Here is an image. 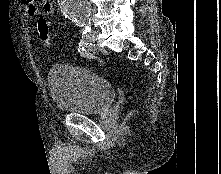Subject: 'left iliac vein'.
Here are the masks:
<instances>
[{
    "instance_id": "1",
    "label": "left iliac vein",
    "mask_w": 221,
    "mask_h": 174,
    "mask_svg": "<svg viewBox=\"0 0 221 174\" xmlns=\"http://www.w3.org/2000/svg\"><path fill=\"white\" fill-rule=\"evenodd\" d=\"M96 40H97V32L95 30L90 31L86 35V41L88 43H95Z\"/></svg>"
}]
</instances>
